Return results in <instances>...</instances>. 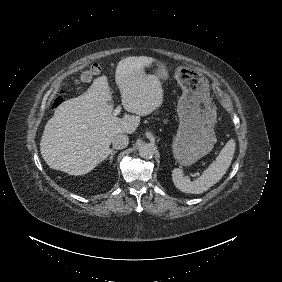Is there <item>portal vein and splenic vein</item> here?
<instances>
[{
	"label": "portal vein and splenic vein",
	"mask_w": 282,
	"mask_h": 282,
	"mask_svg": "<svg viewBox=\"0 0 282 282\" xmlns=\"http://www.w3.org/2000/svg\"><path fill=\"white\" fill-rule=\"evenodd\" d=\"M119 112H120V108L117 107V108L112 112L111 117H116V116L119 114ZM198 174H199L198 172L195 173V175H198Z\"/></svg>",
	"instance_id": "obj_1"
}]
</instances>
